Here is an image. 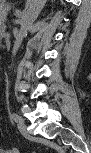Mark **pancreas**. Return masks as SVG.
I'll list each match as a JSON object with an SVG mask.
<instances>
[{"label": "pancreas", "mask_w": 91, "mask_h": 153, "mask_svg": "<svg viewBox=\"0 0 91 153\" xmlns=\"http://www.w3.org/2000/svg\"><path fill=\"white\" fill-rule=\"evenodd\" d=\"M8 10H9V5H6L1 9V20L2 21L6 19V14Z\"/></svg>", "instance_id": "cf45deb5"}]
</instances>
